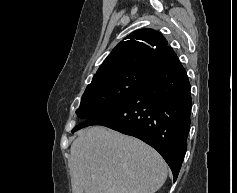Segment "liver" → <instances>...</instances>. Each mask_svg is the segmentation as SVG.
Listing matches in <instances>:
<instances>
[{
	"label": "liver",
	"mask_w": 237,
	"mask_h": 193,
	"mask_svg": "<svg viewBox=\"0 0 237 193\" xmlns=\"http://www.w3.org/2000/svg\"><path fill=\"white\" fill-rule=\"evenodd\" d=\"M73 193H155L167 178L160 154L103 126L79 133L70 149Z\"/></svg>",
	"instance_id": "6515ba94"
}]
</instances>
